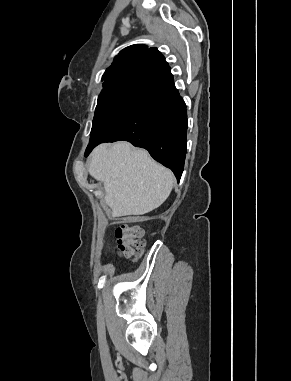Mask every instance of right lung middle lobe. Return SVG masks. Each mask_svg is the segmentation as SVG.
<instances>
[{
  "label": "right lung middle lobe",
  "instance_id": "dd1d6c3e",
  "mask_svg": "<svg viewBox=\"0 0 291 381\" xmlns=\"http://www.w3.org/2000/svg\"><path fill=\"white\" fill-rule=\"evenodd\" d=\"M142 77H132L110 88L103 89L98 97L89 145L115 141L120 125L131 104Z\"/></svg>",
  "mask_w": 291,
  "mask_h": 381
}]
</instances>
